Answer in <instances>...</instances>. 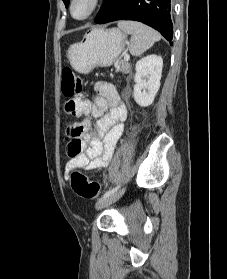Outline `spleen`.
<instances>
[{"mask_svg": "<svg viewBox=\"0 0 227 279\" xmlns=\"http://www.w3.org/2000/svg\"><path fill=\"white\" fill-rule=\"evenodd\" d=\"M118 27L125 33L130 34V53L140 56L153 46L154 42L161 39L160 34L152 28L134 21H119Z\"/></svg>", "mask_w": 227, "mask_h": 279, "instance_id": "1", "label": "spleen"}]
</instances>
